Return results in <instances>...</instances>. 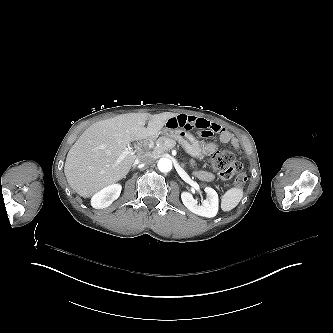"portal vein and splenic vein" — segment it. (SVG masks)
Returning a JSON list of instances; mask_svg holds the SVG:
<instances>
[{"label": "portal vein and splenic vein", "instance_id": "portal-vein-and-splenic-vein-1", "mask_svg": "<svg viewBox=\"0 0 333 333\" xmlns=\"http://www.w3.org/2000/svg\"><path fill=\"white\" fill-rule=\"evenodd\" d=\"M131 153H132L131 149L126 148L123 151V153H121V155L117 158V160L112 164V167L116 168L117 166H119L121 164V162Z\"/></svg>", "mask_w": 333, "mask_h": 333}]
</instances>
